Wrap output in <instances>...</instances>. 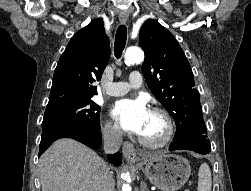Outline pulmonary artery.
<instances>
[{"label":"pulmonary artery","mask_w":251,"mask_h":191,"mask_svg":"<svg viewBox=\"0 0 251 191\" xmlns=\"http://www.w3.org/2000/svg\"><path fill=\"white\" fill-rule=\"evenodd\" d=\"M143 84V77L138 71L129 75L128 82H114L105 85V92L110 96H121L126 94L130 88H139Z\"/></svg>","instance_id":"e3ab8cb5"}]
</instances>
